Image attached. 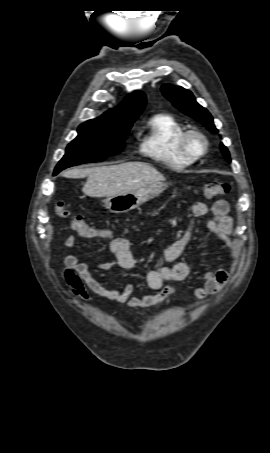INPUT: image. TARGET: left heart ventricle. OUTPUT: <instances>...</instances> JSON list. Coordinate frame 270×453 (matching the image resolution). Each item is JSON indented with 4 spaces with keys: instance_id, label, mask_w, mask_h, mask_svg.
<instances>
[{
    "instance_id": "left-heart-ventricle-1",
    "label": "left heart ventricle",
    "mask_w": 270,
    "mask_h": 453,
    "mask_svg": "<svg viewBox=\"0 0 270 453\" xmlns=\"http://www.w3.org/2000/svg\"><path fill=\"white\" fill-rule=\"evenodd\" d=\"M191 146H192V148L195 149V150H200V149L202 148V146H203V143H202V141H201L200 139H198V138H193V139L191 140Z\"/></svg>"
}]
</instances>
